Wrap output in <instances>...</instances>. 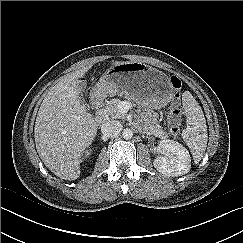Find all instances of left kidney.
Returning <instances> with one entry per match:
<instances>
[{"label":"left kidney","instance_id":"left-kidney-1","mask_svg":"<svg viewBox=\"0 0 243 243\" xmlns=\"http://www.w3.org/2000/svg\"><path fill=\"white\" fill-rule=\"evenodd\" d=\"M158 148L163 155L158 156L153 164L162 174L178 177L189 172L191 157L188 150L173 140H161Z\"/></svg>","mask_w":243,"mask_h":243}]
</instances>
